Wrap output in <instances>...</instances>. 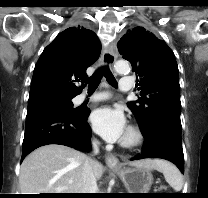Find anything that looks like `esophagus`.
I'll list each match as a JSON object with an SVG mask.
<instances>
[{
	"mask_svg": "<svg viewBox=\"0 0 208 198\" xmlns=\"http://www.w3.org/2000/svg\"><path fill=\"white\" fill-rule=\"evenodd\" d=\"M116 51L112 47H108L102 55V61L104 65L113 66L115 60H116ZM106 164L109 167H118L119 166V160L118 158L113 154H108L106 156Z\"/></svg>",
	"mask_w": 208,
	"mask_h": 198,
	"instance_id": "obj_1",
	"label": "esophagus"
}]
</instances>
